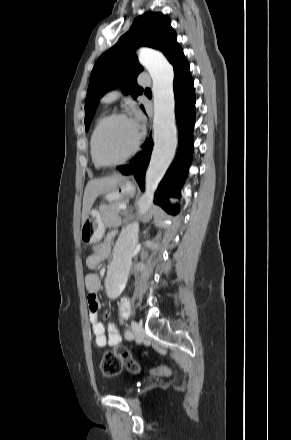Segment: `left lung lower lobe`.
<instances>
[{"label": "left lung lower lobe", "mask_w": 291, "mask_h": 440, "mask_svg": "<svg viewBox=\"0 0 291 440\" xmlns=\"http://www.w3.org/2000/svg\"><path fill=\"white\" fill-rule=\"evenodd\" d=\"M175 115L178 127L179 147L176 158L159 184L154 202L167 212L176 214L178 206L170 205L169 197H179V187L186 177L193 154V128L195 124V91L189 63L182 54L173 64ZM144 149L138 153L131 164L118 166L123 175H134L140 188L144 190L145 171L150 161L153 148L151 138L143 144ZM179 178V182H174Z\"/></svg>", "instance_id": "0a47b994"}]
</instances>
